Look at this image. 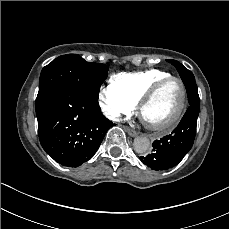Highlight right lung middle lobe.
Segmentation results:
<instances>
[{
  "mask_svg": "<svg viewBox=\"0 0 229 229\" xmlns=\"http://www.w3.org/2000/svg\"><path fill=\"white\" fill-rule=\"evenodd\" d=\"M107 72L105 64L87 62L77 54L60 56L42 69L35 104L51 91L64 86H75L97 97Z\"/></svg>",
  "mask_w": 229,
  "mask_h": 229,
  "instance_id": "dd1d6c3e",
  "label": "right lung middle lobe"
}]
</instances>
